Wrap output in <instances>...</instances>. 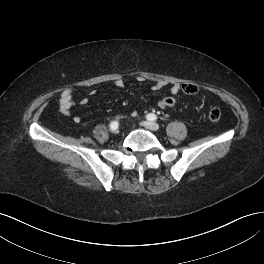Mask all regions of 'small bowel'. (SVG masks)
I'll list each match as a JSON object with an SVG mask.
<instances>
[{
  "instance_id": "1",
  "label": "small bowel",
  "mask_w": 264,
  "mask_h": 264,
  "mask_svg": "<svg viewBox=\"0 0 264 264\" xmlns=\"http://www.w3.org/2000/svg\"><path fill=\"white\" fill-rule=\"evenodd\" d=\"M137 80L139 82L144 81L145 79L143 77H138ZM114 85L118 88V89H123L125 87V83L122 79H116L114 81ZM168 85V83L164 80H157L153 86H152V90L154 91H158L161 90L163 88H165ZM180 86L177 83H173L170 86V91L172 94H177L179 92ZM95 91H92L91 94H94ZM88 103V99L87 98H82L80 100V104L82 105H86ZM75 101H74V91L73 89H65L60 96V112L63 116H70L71 114V109L74 106ZM159 108L163 109L164 107L161 105V103H158ZM73 121L76 124H80L82 122L81 117L79 116H75L73 117Z\"/></svg>"
}]
</instances>
